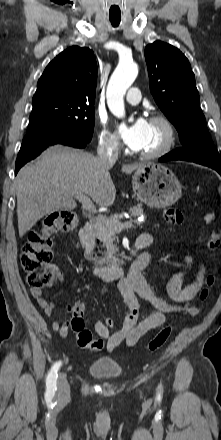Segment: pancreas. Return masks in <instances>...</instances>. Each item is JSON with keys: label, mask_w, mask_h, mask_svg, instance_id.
Listing matches in <instances>:
<instances>
[{"label": "pancreas", "mask_w": 221, "mask_h": 440, "mask_svg": "<svg viewBox=\"0 0 221 440\" xmlns=\"http://www.w3.org/2000/svg\"><path fill=\"white\" fill-rule=\"evenodd\" d=\"M129 213L133 217H140L144 215L142 205L139 204L137 206L131 207ZM123 216H124L123 213L114 214L109 218H105V217L103 219L97 218L93 222V235L94 237H96L106 245L111 259H115V253L118 251V248L114 244L117 239V236H116V231L113 228L112 221L113 220L119 221L120 219L123 218Z\"/></svg>", "instance_id": "cf45deb5"}]
</instances>
